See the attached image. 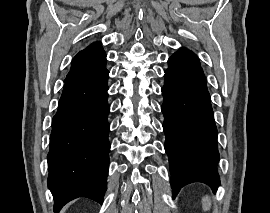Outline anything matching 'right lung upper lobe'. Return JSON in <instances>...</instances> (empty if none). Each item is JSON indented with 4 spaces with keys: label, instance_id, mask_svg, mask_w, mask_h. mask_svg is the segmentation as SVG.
Wrapping results in <instances>:
<instances>
[{
    "label": "right lung upper lobe",
    "instance_id": "obj_1",
    "mask_svg": "<svg viewBox=\"0 0 270 213\" xmlns=\"http://www.w3.org/2000/svg\"><path fill=\"white\" fill-rule=\"evenodd\" d=\"M106 54L100 42H94L80 51L73 59L65 82L89 74L97 73L106 67Z\"/></svg>",
    "mask_w": 270,
    "mask_h": 213
}]
</instances>
